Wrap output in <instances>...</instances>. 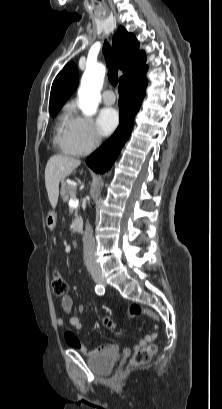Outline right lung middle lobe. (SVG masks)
I'll list each match as a JSON object with an SVG mask.
<instances>
[{
    "mask_svg": "<svg viewBox=\"0 0 222 409\" xmlns=\"http://www.w3.org/2000/svg\"><path fill=\"white\" fill-rule=\"evenodd\" d=\"M58 111H59V110L51 111L50 114L52 115V117H54V116L57 114Z\"/></svg>",
    "mask_w": 222,
    "mask_h": 409,
    "instance_id": "right-lung-middle-lobe-1",
    "label": "right lung middle lobe"
}]
</instances>
